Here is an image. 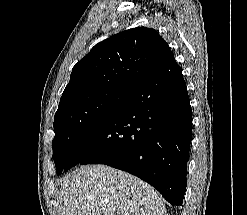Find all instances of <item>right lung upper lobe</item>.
Listing matches in <instances>:
<instances>
[{"label":"right lung upper lobe","mask_w":247,"mask_h":215,"mask_svg":"<svg viewBox=\"0 0 247 215\" xmlns=\"http://www.w3.org/2000/svg\"><path fill=\"white\" fill-rule=\"evenodd\" d=\"M156 30L137 27L98 44L72 69L62 97L70 92L115 89L133 92L172 56Z\"/></svg>","instance_id":"1"}]
</instances>
